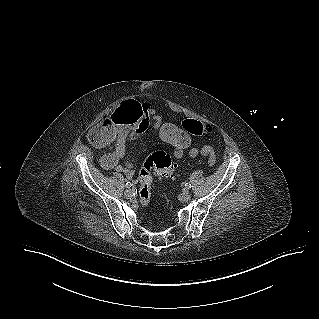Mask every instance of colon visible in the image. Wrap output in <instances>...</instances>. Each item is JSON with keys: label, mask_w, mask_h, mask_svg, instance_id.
I'll return each mask as SVG.
<instances>
[{"label": "colon", "mask_w": 319, "mask_h": 319, "mask_svg": "<svg viewBox=\"0 0 319 319\" xmlns=\"http://www.w3.org/2000/svg\"><path fill=\"white\" fill-rule=\"evenodd\" d=\"M181 129L174 122H163L156 131L158 142L164 146H169L176 150H188L194 144L195 137H208L215 135L217 130L212 128L206 120L185 118L181 122ZM188 133L189 135H187ZM151 172L159 177L173 178L176 174V164L171 157L164 151H155L150 154L139 171V199L143 205H147L151 194Z\"/></svg>", "instance_id": "obj_1"}]
</instances>
